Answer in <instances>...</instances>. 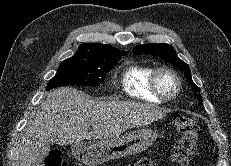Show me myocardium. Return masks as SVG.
<instances>
[{"instance_id": "1", "label": "myocardium", "mask_w": 231, "mask_h": 166, "mask_svg": "<svg viewBox=\"0 0 231 166\" xmlns=\"http://www.w3.org/2000/svg\"><path fill=\"white\" fill-rule=\"evenodd\" d=\"M163 73L169 74L176 83L175 92L172 95H166L159 86V78ZM150 90L151 92L161 101L169 102L175 100L180 94L182 88V81L178 73L169 67H159L156 68L150 78Z\"/></svg>"}]
</instances>
